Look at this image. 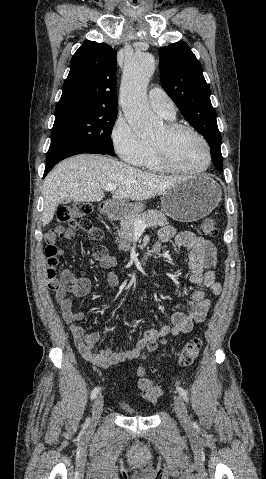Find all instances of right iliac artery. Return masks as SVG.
Here are the masks:
<instances>
[{"label": "right iliac artery", "instance_id": "82829eb1", "mask_svg": "<svg viewBox=\"0 0 266 479\" xmlns=\"http://www.w3.org/2000/svg\"><path fill=\"white\" fill-rule=\"evenodd\" d=\"M100 391V387H95L92 392H91V399L93 400L94 398H96V396L98 395Z\"/></svg>", "mask_w": 266, "mask_h": 479}]
</instances>
